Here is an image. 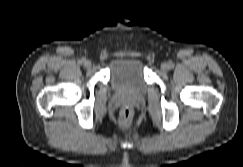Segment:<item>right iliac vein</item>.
Returning a JSON list of instances; mask_svg holds the SVG:
<instances>
[{"mask_svg":"<svg viewBox=\"0 0 243 167\" xmlns=\"http://www.w3.org/2000/svg\"><path fill=\"white\" fill-rule=\"evenodd\" d=\"M91 65H92V63H91L90 60H85V61H84V67H85V68H91Z\"/></svg>","mask_w":243,"mask_h":167,"instance_id":"63e3f726","label":"right iliac vein"}]
</instances>
